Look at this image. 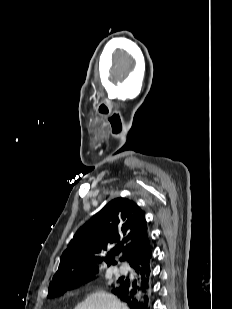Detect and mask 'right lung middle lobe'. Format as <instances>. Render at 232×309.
Returning a JSON list of instances; mask_svg holds the SVG:
<instances>
[{
    "instance_id": "dd1d6c3e",
    "label": "right lung middle lobe",
    "mask_w": 232,
    "mask_h": 309,
    "mask_svg": "<svg viewBox=\"0 0 232 309\" xmlns=\"http://www.w3.org/2000/svg\"><path fill=\"white\" fill-rule=\"evenodd\" d=\"M96 273H91L82 277H79L77 279L68 280V281H61L54 283L50 288L48 292V296L54 297L57 295H62L66 290L72 289L76 286H79L81 284H85L95 278ZM120 282V279L118 280V283Z\"/></svg>"
}]
</instances>
